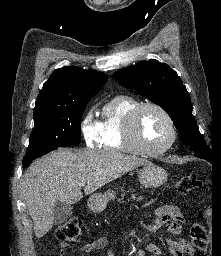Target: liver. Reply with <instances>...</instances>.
Wrapping results in <instances>:
<instances>
[{
	"label": "liver",
	"instance_id": "6515ba94",
	"mask_svg": "<svg viewBox=\"0 0 221 256\" xmlns=\"http://www.w3.org/2000/svg\"><path fill=\"white\" fill-rule=\"evenodd\" d=\"M150 163L113 150L72 151L60 148L35 160L20 181L21 193L34 223L37 238L51 230L57 202L74 204L83 198L79 183L87 182L85 195Z\"/></svg>",
	"mask_w": 221,
	"mask_h": 256
}]
</instances>
